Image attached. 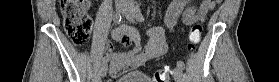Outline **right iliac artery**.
<instances>
[{
  "mask_svg": "<svg viewBox=\"0 0 279 82\" xmlns=\"http://www.w3.org/2000/svg\"><path fill=\"white\" fill-rule=\"evenodd\" d=\"M114 22L119 24L121 21V14L120 13H115L114 14V18H113ZM108 59L106 57H104L102 59L103 64L107 63Z\"/></svg>",
  "mask_w": 279,
  "mask_h": 82,
  "instance_id": "right-iliac-artery-1",
  "label": "right iliac artery"
}]
</instances>
